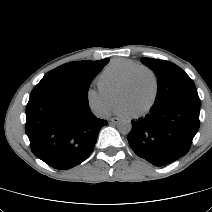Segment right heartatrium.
Wrapping results in <instances>:
<instances>
[{"label": "right heart atrium", "mask_w": 212, "mask_h": 212, "mask_svg": "<svg viewBox=\"0 0 212 212\" xmlns=\"http://www.w3.org/2000/svg\"><path fill=\"white\" fill-rule=\"evenodd\" d=\"M86 99L89 108L99 116L107 115L114 102V96L101 87H98V89H89Z\"/></svg>", "instance_id": "d8ad5b80"}]
</instances>
